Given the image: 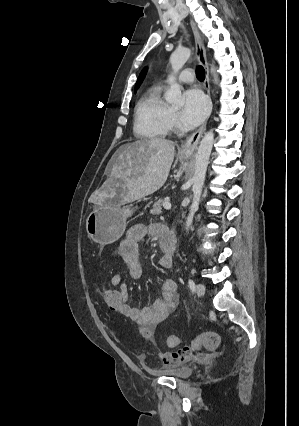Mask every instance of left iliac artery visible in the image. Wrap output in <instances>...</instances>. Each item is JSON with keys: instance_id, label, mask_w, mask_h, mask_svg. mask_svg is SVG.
I'll use <instances>...</instances> for the list:
<instances>
[{"instance_id": "left-iliac-artery-1", "label": "left iliac artery", "mask_w": 299, "mask_h": 426, "mask_svg": "<svg viewBox=\"0 0 299 426\" xmlns=\"http://www.w3.org/2000/svg\"><path fill=\"white\" fill-rule=\"evenodd\" d=\"M188 285H189L191 291L194 292L195 291V283L192 279L188 280Z\"/></svg>"}]
</instances>
